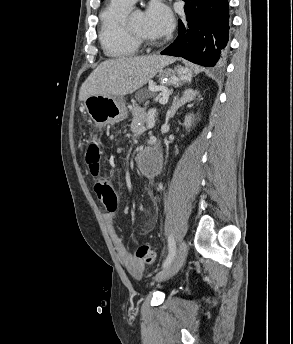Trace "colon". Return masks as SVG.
<instances>
[{"label": "colon", "instance_id": "colon-1", "mask_svg": "<svg viewBox=\"0 0 293 344\" xmlns=\"http://www.w3.org/2000/svg\"><path fill=\"white\" fill-rule=\"evenodd\" d=\"M91 155L95 159H98L99 157V147L96 143L91 147ZM94 189L99 200L104 204L108 211H115L117 209L118 196L109 179L97 178ZM136 258L145 264H153L155 262L156 255L152 247L145 244L137 248Z\"/></svg>", "mask_w": 293, "mask_h": 344}]
</instances>
